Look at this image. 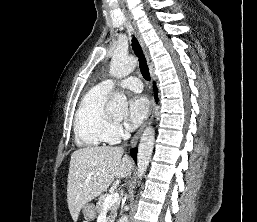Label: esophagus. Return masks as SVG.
<instances>
[{
	"mask_svg": "<svg viewBox=\"0 0 257 222\" xmlns=\"http://www.w3.org/2000/svg\"><path fill=\"white\" fill-rule=\"evenodd\" d=\"M127 17H128V19H129V22L131 23V25H132L133 28H134V31H135V33H136V35H137V38H138V40H139V43H140V45H141L143 51H144V53H145V56H146V58H147V61H149L148 50H147V47H146V45H145V42H144V39H143V37H142L141 32L139 31L138 26H137L136 22L132 19V17H130V16H127ZM154 113H155V102L152 101L150 110H149V112H148V115H147V117H146V119H145L143 125L140 127V129L136 132V134H135V135L133 136V138L131 139V146H132V147H134V146L137 144V142H138V140H139V138H140V136H141V134H142L144 128L152 122V120H153V118H154Z\"/></svg>",
	"mask_w": 257,
	"mask_h": 222,
	"instance_id": "esophagus-1",
	"label": "esophagus"
}]
</instances>
